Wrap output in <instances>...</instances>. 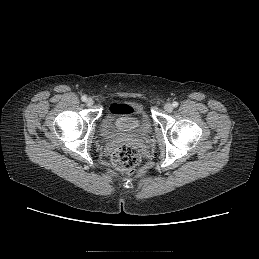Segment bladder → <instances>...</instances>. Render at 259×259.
<instances>
[{
	"instance_id": "bladder-1",
	"label": "bladder",
	"mask_w": 259,
	"mask_h": 259,
	"mask_svg": "<svg viewBox=\"0 0 259 259\" xmlns=\"http://www.w3.org/2000/svg\"><path fill=\"white\" fill-rule=\"evenodd\" d=\"M102 130L105 135H145L152 131V121L145 108L137 103L111 104L103 117Z\"/></svg>"
}]
</instances>
